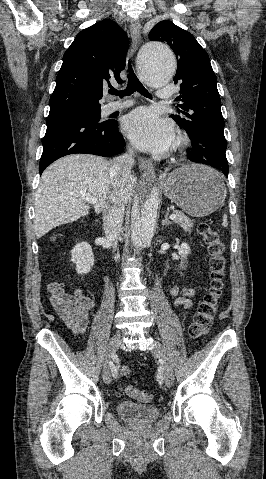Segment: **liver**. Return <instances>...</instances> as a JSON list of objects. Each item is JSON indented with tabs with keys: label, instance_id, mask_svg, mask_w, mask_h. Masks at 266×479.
<instances>
[{
	"label": "liver",
	"instance_id": "obj_1",
	"mask_svg": "<svg viewBox=\"0 0 266 479\" xmlns=\"http://www.w3.org/2000/svg\"><path fill=\"white\" fill-rule=\"evenodd\" d=\"M111 162L95 155L75 154L59 159L42 174L35 196L34 229L39 239L50 230L89 214L82 195L95 197V212L103 210L112 189ZM131 175L124 188L125 203L134 191Z\"/></svg>",
	"mask_w": 266,
	"mask_h": 479
}]
</instances>
